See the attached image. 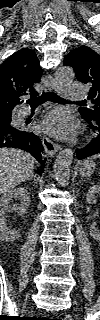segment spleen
<instances>
[{
    "instance_id": "3e777b00",
    "label": "spleen",
    "mask_w": 100,
    "mask_h": 320,
    "mask_svg": "<svg viewBox=\"0 0 100 320\" xmlns=\"http://www.w3.org/2000/svg\"><path fill=\"white\" fill-rule=\"evenodd\" d=\"M95 158H98L97 156H93L91 159H95Z\"/></svg>"
}]
</instances>
